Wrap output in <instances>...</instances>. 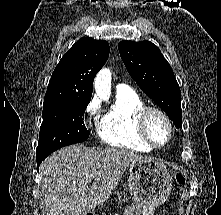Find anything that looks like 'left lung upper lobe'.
Wrapping results in <instances>:
<instances>
[{
  "label": "left lung upper lobe",
  "instance_id": "5c2ea615",
  "mask_svg": "<svg viewBox=\"0 0 221 215\" xmlns=\"http://www.w3.org/2000/svg\"><path fill=\"white\" fill-rule=\"evenodd\" d=\"M120 56L137 85L169 116L177 128L182 125L181 92L174 73L160 49L145 40H123Z\"/></svg>",
  "mask_w": 221,
  "mask_h": 215
}]
</instances>
